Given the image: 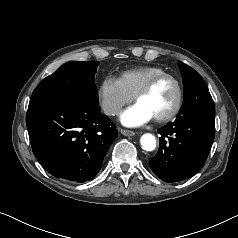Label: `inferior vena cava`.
I'll use <instances>...</instances> for the list:
<instances>
[{
  "label": "inferior vena cava",
  "instance_id": "1",
  "mask_svg": "<svg viewBox=\"0 0 238 238\" xmlns=\"http://www.w3.org/2000/svg\"><path fill=\"white\" fill-rule=\"evenodd\" d=\"M119 111H120V107L118 106H115V105L104 106V112L107 115H116L119 113Z\"/></svg>",
  "mask_w": 238,
  "mask_h": 238
}]
</instances>
